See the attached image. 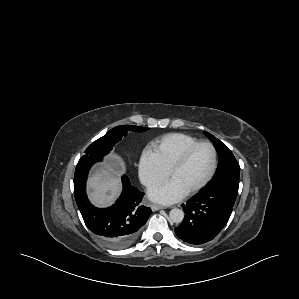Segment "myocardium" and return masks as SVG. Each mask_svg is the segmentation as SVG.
<instances>
[{"mask_svg":"<svg viewBox=\"0 0 299 299\" xmlns=\"http://www.w3.org/2000/svg\"><path fill=\"white\" fill-rule=\"evenodd\" d=\"M202 145H207L211 148L213 153V163L210 172L208 175L196 186L192 187L188 191H186V194H194L204 188L214 177L217 167H218V153L217 149L214 146V144L210 141H198L197 143L189 146L181 155L180 157L175 161V163L171 166L169 170V177L172 178L174 173L179 170L188 160L192 152L197 149L198 147Z\"/></svg>","mask_w":299,"mask_h":299,"instance_id":"obj_1","label":"myocardium"}]
</instances>
